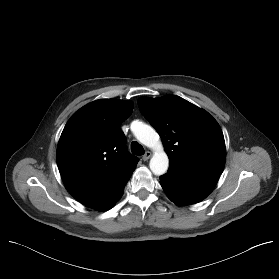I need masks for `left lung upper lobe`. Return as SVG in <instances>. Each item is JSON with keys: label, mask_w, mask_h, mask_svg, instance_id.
Segmentation results:
<instances>
[{"label": "left lung upper lobe", "mask_w": 279, "mask_h": 279, "mask_svg": "<svg viewBox=\"0 0 279 279\" xmlns=\"http://www.w3.org/2000/svg\"><path fill=\"white\" fill-rule=\"evenodd\" d=\"M141 113L162 138L169 166L220 175L225 141L216 120L205 110L175 95L138 100Z\"/></svg>", "instance_id": "1"}]
</instances>
